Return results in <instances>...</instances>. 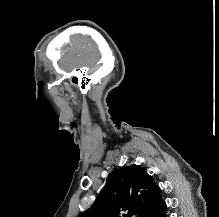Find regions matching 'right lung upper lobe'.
<instances>
[{
  "instance_id": "obj_1",
  "label": "right lung upper lobe",
  "mask_w": 219,
  "mask_h": 217,
  "mask_svg": "<svg viewBox=\"0 0 219 217\" xmlns=\"http://www.w3.org/2000/svg\"><path fill=\"white\" fill-rule=\"evenodd\" d=\"M166 208L161 189L140 166L114 169L94 204L78 217H158Z\"/></svg>"
}]
</instances>
